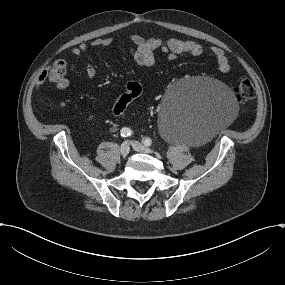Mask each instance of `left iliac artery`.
<instances>
[{"instance_id":"obj_1","label":"left iliac artery","mask_w":285,"mask_h":285,"mask_svg":"<svg viewBox=\"0 0 285 285\" xmlns=\"http://www.w3.org/2000/svg\"><path fill=\"white\" fill-rule=\"evenodd\" d=\"M143 144H144L146 147H149V146L152 145V140L147 137V138L144 139Z\"/></svg>"}]
</instances>
